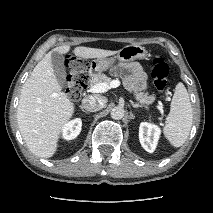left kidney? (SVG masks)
<instances>
[{"mask_svg":"<svg viewBox=\"0 0 213 213\" xmlns=\"http://www.w3.org/2000/svg\"><path fill=\"white\" fill-rule=\"evenodd\" d=\"M161 134L160 128L151 123L142 122L139 127V140L142 147L149 153H153L156 149L159 137Z\"/></svg>","mask_w":213,"mask_h":213,"instance_id":"left-kidney-1","label":"left kidney"}]
</instances>
